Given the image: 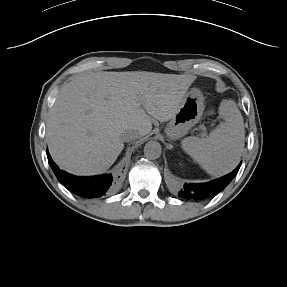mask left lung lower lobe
Masks as SVG:
<instances>
[{
    "label": "left lung lower lobe",
    "mask_w": 287,
    "mask_h": 287,
    "mask_svg": "<svg viewBox=\"0 0 287 287\" xmlns=\"http://www.w3.org/2000/svg\"><path fill=\"white\" fill-rule=\"evenodd\" d=\"M240 166L241 163L233 172L207 183L185 184L184 188L181 189L179 194L182 198L194 200H203L211 197L212 195L219 193L231 182V180L238 173Z\"/></svg>",
    "instance_id": "left-lung-lower-lobe-1"
}]
</instances>
